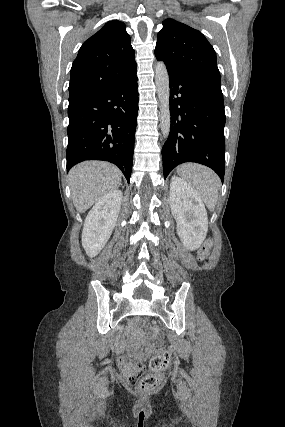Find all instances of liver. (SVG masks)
Here are the masks:
<instances>
[{
	"instance_id": "1",
	"label": "liver",
	"mask_w": 285,
	"mask_h": 427,
	"mask_svg": "<svg viewBox=\"0 0 285 427\" xmlns=\"http://www.w3.org/2000/svg\"><path fill=\"white\" fill-rule=\"evenodd\" d=\"M121 171L108 162L86 161L69 172L73 203L83 213L121 185Z\"/></svg>"
}]
</instances>
